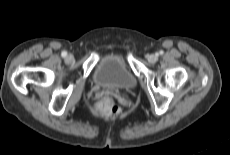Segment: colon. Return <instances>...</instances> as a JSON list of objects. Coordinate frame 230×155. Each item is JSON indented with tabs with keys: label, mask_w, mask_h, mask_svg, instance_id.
Returning <instances> with one entry per match:
<instances>
[{
	"label": "colon",
	"mask_w": 230,
	"mask_h": 155,
	"mask_svg": "<svg viewBox=\"0 0 230 155\" xmlns=\"http://www.w3.org/2000/svg\"><path fill=\"white\" fill-rule=\"evenodd\" d=\"M99 110L107 116H116L120 112V107L114 98L106 96L98 104Z\"/></svg>",
	"instance_id": "obj_1"
}]
</instances>
